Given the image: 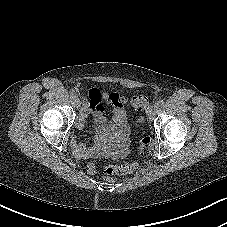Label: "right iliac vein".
Wrapping results in <instances>:
<instances>
[{"mask_svg":"<svg viewBox=\"0 0 227 227\" xmlns=\"http://www.w3.org/2000/svg\"><path fill=\"white\" fill-rule=\"evenodd\" d=\"M74 105L76 108H79L81 106V100L79 98H75Z\"/></svg>","mask_w":227,"mask_h":227,"instance_id":"1","label":"right iliac vein"}]
</instances>
